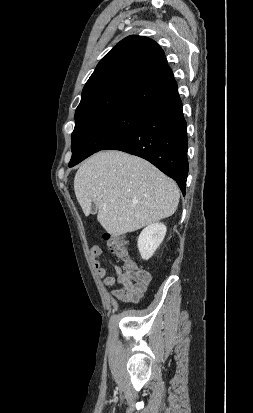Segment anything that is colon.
I'll list each match as a JSON object with an SVG mask.
<instances>
[{"instance_id":"1","label":"colon","mask_w":253,"mask_h":413,"mask_svg":"<svg viewBox=\"0 0 253 413\" xmlns=\"http://www.w3.org/2000/svg\"><path fill=\"white\" fill-rule=\"evenodd\" d=\"M103 241L109 250L123 261L122 272L139 285H147L149 274L138 267L128 254L127 241L124 236L105 233Z\"/></svg>"}]
</instances>
